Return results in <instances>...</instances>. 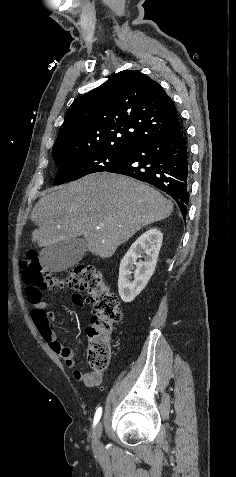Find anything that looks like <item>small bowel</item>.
Returning a JSON list of instances; mask_svg holds the SVG:
<instances>
[{
    "mask_svg": "<svg viewBox=\"0 0 236 477\" xmlns=\"http://www.w3.org/2000/svg\"><path fill=\"white\" fill-rule=\"evenodd\" d=\"M73 301L80 307H83L84 305L83 299L79 295L74 296ZM31 303L34 306L32 321L38 333L49 345L51 350L62 357L68 367H73L76 357L74 350L70 347L64 346L59 341L56 332L51 326L56 318L55 313L48 310L47 304L41 300ZM74 377L88 386H96L102 382V375L96 372L81 374L80 372L75 371Z\"/></svg>",
    "mask_w": 236,
    "mask_h": 477,
    "instance_id": "obj_1",
    "label": "small bowel"
}]
</instances>
